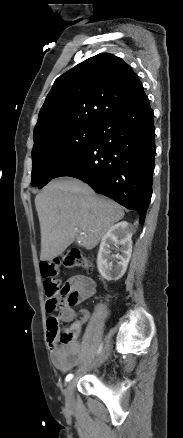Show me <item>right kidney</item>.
<instances>
[{
	"instance_id": "obj_1",
	"label": "right kidney",
	"mask_w": 183,
	"mask_h": 438,
	"mask_svg": "<svg viewBox=\"0 0 183 438\" xmlns=\"http://www.w3.org/2000/svg\"><path fill=\"white\" fill-rule=\"evenodd\" d=\"M133 232L134 227L122 221L112 226L103 236L97 256V267L104 279L116 281L124 275L131 258ZM114 247L119 248L121 254L110 255Z\"/></svg>"
}]
</instances>
